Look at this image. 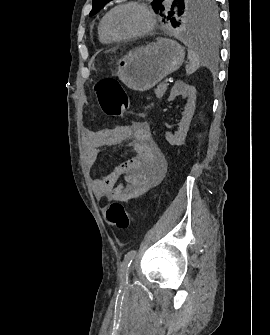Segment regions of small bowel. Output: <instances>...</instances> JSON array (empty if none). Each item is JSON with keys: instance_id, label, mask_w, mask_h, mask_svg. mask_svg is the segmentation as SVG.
Listing matches in <instances>:
<instances>
[{"instance_id": "1", "label": "small bowel", "mask_w": 270, "mask_h": 335, "mask_svg": "<svg viewBox=\"0 0 270 335\" xmlns=\"http://www.w3.org/2000/svg\"><path fill=\"white\" fill-rule=\"evenodd\" d=\"M121 141L131 140L136 156L121 163L110 174L92 181L97 197L130 202L157 185L165 173L166 160L153 141L147 122L138 121L117 130ZM102 131L87 132L86 162L93 166L104 145ZM121 182L119 183V181Z\"/></svg>"}]
</instances>
